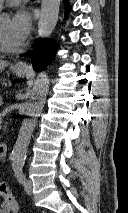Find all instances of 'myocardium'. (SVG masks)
I'll return each instance as SVG.
<instances>
[{"instance_id": "obj_1", "label": "myocardium", "mask_w": 128, "mask_h": 213, "mask_svg": "<svg viewBox=\"0 0 128 213\" xmlns=\"http://www.w3.org/2000/svg\"><path fill=\"white\" fill-rule=\"evenodd\" d=\"M21 48L19 46H11L9 45L3 35L1 34L0 32V50L1 51H4V52H7V53H15V52H18Z\"/></svg>"}]
</instances>
